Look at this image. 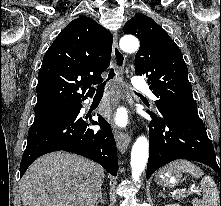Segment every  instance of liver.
Segmentation results:
<instances>
[{
	"mask_svg": "<svg viewBox=\"0 0 221 206\" xmlns=\"http://www.w3.org/2000/svg\"><path fill=\"white\" fill-rule=\"evenodd\" d=\"M104 177L99 164L79 155L46 154L21 179L23 206H94Z\"/></svg>",
	"mask_w": 221,
	"mask_h": 206,
	"instance_id": "obj_1",
	"label": "liver"
}]
</instances>
